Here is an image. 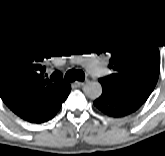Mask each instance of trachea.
<instances>
[{"instance_id":"1","label":"trachea","mask_w":165,"mask_h":156,"mask_svg":"<svg viewBox=\"0 0 165 156\" xmlns=\"http://www.w3.org/2000/svg\"><path fill=\"white\" fill-rule=\"evenodd\" d=\"M85 79V74L81 70H69L64 77L65 82H72L75 80L83 81Z\"/></svg>"}]
</instances>
